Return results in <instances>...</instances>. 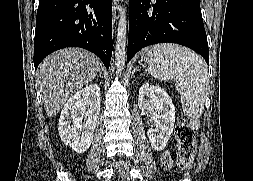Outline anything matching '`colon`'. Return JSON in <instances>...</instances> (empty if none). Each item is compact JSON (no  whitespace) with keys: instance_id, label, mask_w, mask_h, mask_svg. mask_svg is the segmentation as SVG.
<instances>
[{"instance_id":"obj_1","label":"colon","mask_w":253,"mask_h":181,"mask_svg":"<svg viewBox=\"0 0 253 181\" xmlns=\"http://www.w3.org/2000/svg\"><path fill=\"white\" fill-rule=\"evenodd\" d=\"M175 136L178 141L179 167L187 170L195 155V133L189 124L181 119L176 126Z\"/></svg>"}]
</instances>
